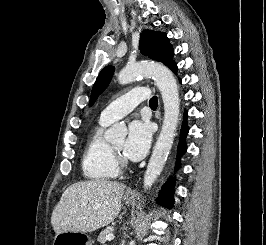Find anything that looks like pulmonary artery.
Masks as SVG:
<instances>
[{
	"label": "pulmonary artery",
	"mask_w": 266,
	"mask_h": 245,
	"mask_svg": "<svg viewBox=\"0 0 266 245\" xmlns=\"http://www.w3.org/2000/svg\"><path fill=\"white\" fill-rule=\"evenodd\" d=\"M148 86H137V91H127V96H119L118 100H112L111 104L104 108L99 120L105 123L114 122L130 113L140 101H147L149 95Z\"/></svg>",
	"instance_id": "e3ab8cb5"
}]
</instances>
